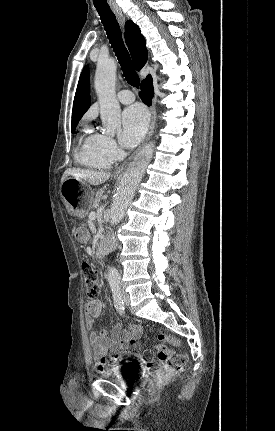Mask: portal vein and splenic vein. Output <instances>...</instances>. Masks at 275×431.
Listing matches in <instances>:
<instances>
[{
	"mask_svg": "<svg viewBox=\"0 0 275 431\" xmlns=\"http://www.w3.org/2000/svg\"><path fill=\"white\" fill-rule=\"evenodd\" d=\"M96 218V213L95 212H91L90 214H89V219L90 220H94Z\"/></svg>",
	"mask_w": 275,
	"mask_h": 431,
	"instance_id": "obj_1",
	"label": "portal vein and splenic vein"
}]
</instances>
